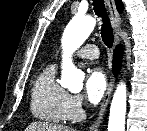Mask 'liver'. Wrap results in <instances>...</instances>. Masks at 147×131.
Masks as SVG:
<instances>
[{
    "label": "liver",
    "instance_id": "obj_1",
    "mask_svg": "<svg viewBox=\"0 0 147 131\" xmlns=\"http://www.w3.org/2000/svg\"><path fill=\"white\" fill-rule=\"evenodd\" d=\"M25 131H75L67 126L52 124L48 122H33Z\"/></svg>",
    "mask_w": 147,
    "mask_h": 131
}]
</instances>
